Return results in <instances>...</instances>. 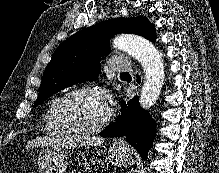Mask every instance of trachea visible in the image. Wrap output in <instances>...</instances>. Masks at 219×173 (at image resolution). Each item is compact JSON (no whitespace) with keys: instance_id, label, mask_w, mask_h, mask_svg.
Wrapping results in <instances>:
<instances>
[{"instance_id":"trachea-1","label":"trachea","mask_w":219,"mask_h":173,"mask_svg":"<svg viewBox=\"0 0 219 173\" xmlns=\"http://www.w3.org/2000/svg\"><path fill=\"white\" fill-rule=\"evenodd\" d=\"M122 75H129V73H128V72H125V73H122Z\"/></svg>"}]
</instances>
